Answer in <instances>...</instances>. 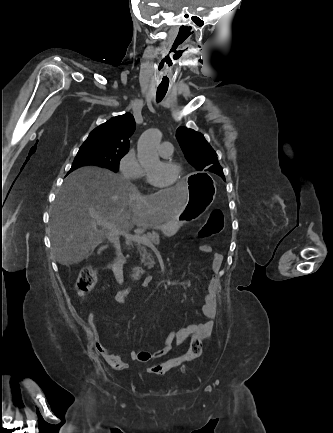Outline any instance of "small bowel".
<instances>
[{
	"label": "small bowel",
	"mask_w": 333,
	"mask_h": 433,
	"mask_svg": "<svg viewBox=\"0 0 333 433\" xmlns=\"http://www.w3.org/2000/svg\"><path fill=\"white\" fill-rule=\"evenodd\" d=\"M201 250L207 253L212 252V248L208 245L201 246ZM223 260V256L220 253H214L212 258V271L213 273H217L220 269L221 263ZM151 278L147 277L144 280L145 284L150 283ZM129 293L128 289H124L119 291L116 294V300L119 302L125 301L127 295ZM201 312L206 319L203 323H191L187 326L179 329L178 331L170 332L163 342V346L154 352L151 351H141L135 352L132 351L130 353L131 360L141 361L144 363L151 362L157 358H160L166 354H168L173 344L181 345L183 344L189 337L194 335H199L202 339L207 338L213 327V319L216 315V292L213 289L207 288L206 294L204 296V303L201 307ZM87 325L89 329V334L92 338L93 345L96 351L101 354L106 361L115 369H123L126 366V362L120 356L116 355L110 348L105 346L101 341L100 334L98 331V327L95 321V313H89L87 317Z\"/></svg>",
	"instance_id": "c3829d8e"
}]
</instances>
